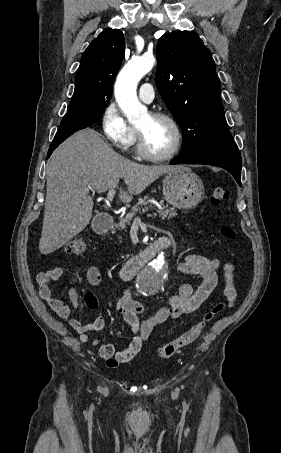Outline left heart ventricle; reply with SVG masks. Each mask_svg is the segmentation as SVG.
Instances as JSON below:
<instances>
[{"instance_id": "obj_1", "label": "left heart ventricle", "mask_w": 281, "mask_h": 453, "mask_svg": "<svg viewBox=\"0 0 281 453\" xmlns=\"http://www.w3.org/2000/svg\"><path fill=\"white\" fill-rule=\"evenodd\" d=\"M137 127L143 132L149 151L158 155L169 152L174 142V132L168 123L154 121L147 114Z\"/></svg>"}]
</instances>
